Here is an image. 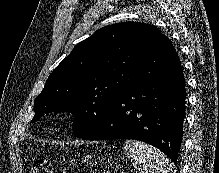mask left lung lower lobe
Masks as SVG:
<instances>
[{
	"label": "left lung lower lobe",
	"mask_w": 219,
	"mask_h": 173,
	"mask_svg": "<svg viewBox=\"0 0 219 173\" xmlns=\"http://www.w3.org/2000/svg\"><path fill=\"white\" fill-rule=\"evenodd\" d=\"M186 88L179 56L167 38L135 73L134 86L84 140L136 139L179 159Z\"/></svg>",
	"instance_id": "left-lung-lower-lobe-1"
}]
</instances>
